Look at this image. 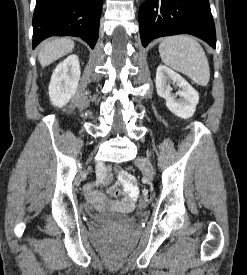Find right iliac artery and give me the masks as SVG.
<instances>
[{
    "instance_id": "obj_1",
    "label": "right iliac artery",
    "mask_w": 247,
    "mask_h": 275,
    "mask_svg": "<svg viewBox=\"0 0 247 275\" xmlns=\"http://www.w3.org/2000/svg\"><path fill=\"white\" fill-rule=\"evenodd\" d=\"M96 176L97 180H106L107 176V167L105 164H96Z\"/></svg>"
}]
</instances>
